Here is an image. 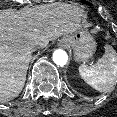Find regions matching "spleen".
Returning a JSON list of instances; mask_svg holds the SVG:
<instances>
[{"mask_svg":"<svg viewBox=\"0 0 117 117\" xmlns=\"http://www.w3.org/2000/svg\"><path fill=\"white\" fill-rule=\"evenodd\" d=\"M82 79L94 89L105 92L117 83V53L110 47H105V54L94 65L79 66Z\"/></svg>","mask_w":117,"mask_h":117,"instance_id":"obj_1","label":"spleen"}]
</instances>
